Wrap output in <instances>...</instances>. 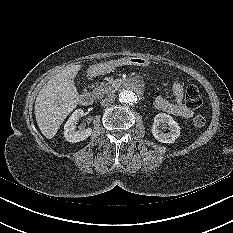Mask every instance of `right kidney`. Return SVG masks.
I'll return each mask as SVG.
<instances>
[{"mask_svg": "<svg viewBox=\"0 0 233 233\" xmlns=\"http://www.w3.org/2000/svg\"><path fill=\"white\" fill-rule=\"evenodd\" d=\"M84 115V111L81 109L75 110L67 120L64 126V137L67 141L76 143L85 140L92 134V129H80L77 130L76 124L78 120Z\"/></svg>", "mask_w": 233, "mask_h": 233, "instance_id": "obj_1", "label": "right kidney"}]
</instances>
